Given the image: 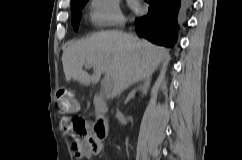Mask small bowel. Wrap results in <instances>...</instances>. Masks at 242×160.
<instances>
[{
    "mask_svg": "<svg viewBox=\"0 0 242 160\" xmlns=\"http://www.w3.org/2000/svg\"><path fill=\"white\" fill-rule=\"evenodd\" d=\"M96 141L91 133L90 126L86 125L85 136L74 141L76 151L82 156H88V152L91 151V144ZM101 149V145H100Z\"/></svg>",
    "mask_w": 242,
    "mask_h": 160,
    "instance_id": "obj_1",
    "label": "small bowel"
}]
</instances>
